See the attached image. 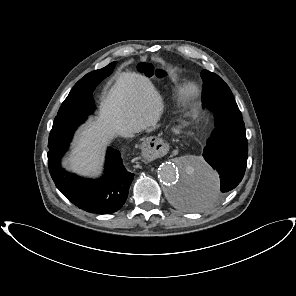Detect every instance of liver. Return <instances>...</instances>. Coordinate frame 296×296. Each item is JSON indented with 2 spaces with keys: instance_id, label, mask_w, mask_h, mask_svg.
Wrapping results in <instances>:
<instances>
[{
  "instance_id": "6515ba94",
  "label": "liver",
  "mask_w": 296,
  "mask_h": 296,
  "mask_svg": "<svg viewBox=\"0 0 296 296\" xmlns=\"http://www.w3.org/2000/svg\"><path fill=\"white\" fill-rule=\"evenodd\" d=\"M163 110V99L147 77L121 73L101 102L99 117L79 131L65 167L82 175L98 173L104 145L121 129L137 133L154 127Z\"/></svg>"
}]
</instances>
